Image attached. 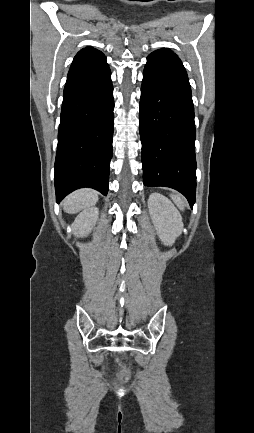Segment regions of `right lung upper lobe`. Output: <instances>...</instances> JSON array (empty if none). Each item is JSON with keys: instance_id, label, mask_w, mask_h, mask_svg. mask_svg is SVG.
Returning a JSON list of instances; mask_svg holds the SVG:
<instances>
[{"instance_id": "1", "label": "right lung upper lobe", "mask_w": 254, "mask_h": 433, "mask_svg": "<svg viewBox=\"0 0 254 433\" xmlns=\"http://www.w3.org/2000/svg\"><path fill=\"white\" fill-rule=\"evenodd\" d=\"M103 58H105V56L101 51L93 47H86L80 50L77 53V55L74 57V60L71 64V68L92 64Z\"/></svg>"}]
</instances>
